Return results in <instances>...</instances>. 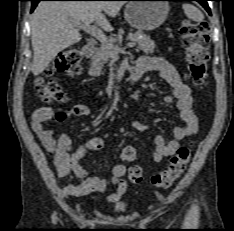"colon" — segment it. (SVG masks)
I'll use <instances>...</instances> for the list:
<instances>
[{"label": "colon", "mask_w": 234, "mask_h": 231, "mask_svg": "<svg viewBox=\"0 0 234 231\" xmlns=\"http://www.w3.org/2000/svg\"><path fill=\"white\" fill-rule=\"evenodd\" d=\"M180 34L186 51V61L190 76L194 84L201 87L207 76V63L209 59V35L206 23H194L187 20L182 23ZM80 60L81 52L78 48H66L47 70L46 76H53L57 73L75 75L78 71ZM37 90L42 99L47 102L62 103L67 99L61 87L53 80L40 79L37 84ZM136 155V149L128 146L122 150L120 158L125 162H132L135 160ZM191 155V144L179 147L171 157L168 166L152 176V184L160 189L171 186L185 171ZM128 178L132 183L141 182L144 179L143 169L140 166H132L129 169Z\"/></svg>", "instance_id": "obj_1"}]
</instances>
